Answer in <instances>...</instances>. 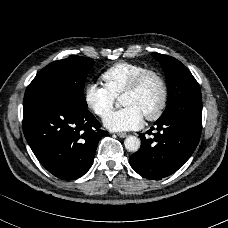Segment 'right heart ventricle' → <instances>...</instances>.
Listing matches in <instances>:
<instances>
[{"label":"right heart ventricle","mask_w":228,"mask_h":228,"mask_svg":"<svg viewBox=\"0 0 228 228\" xmlns=\"http://www.w3.org/2000/svg\"><path fill=\"white\" fill-rule=\"evenodd\" d=\"M147 66L130 62H118L107 68L101 75L105 86L114 97H119L133 79Z\"/></svg>","instance_id":"e07e8e85"}]
</instances>
